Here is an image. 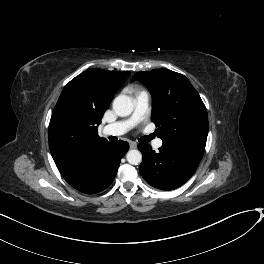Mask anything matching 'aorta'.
Wrapping results in <instances>:
<instances>
[{"mask_svg":"<svg viewBox=\"0 0 264 264\" xmlns=\"http://www.w3.org/2000/svg\"><path fill=\"white\" fill-rule=\"evenodd\" d=\"M134 108L132 98L127 95H119L113 101V110L118 116L125 117L132 113ZM127 161L132 165H138L142 161V154L138 150H129Z\"/></svg>","mask_w":264,"mask_h":264,"instance_id":"1","label":"aorta"}]
</instances>
